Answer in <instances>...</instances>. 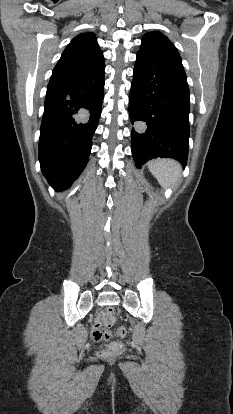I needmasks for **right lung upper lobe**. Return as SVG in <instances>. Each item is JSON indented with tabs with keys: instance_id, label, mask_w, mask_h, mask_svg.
<instances>
[{
	"instance_id": "1",
	"label": "right lung upper lobe",
	"mask_w": 233,
	"mask_h": 414,
	"mask_svg": "<svg viewBox=\"0 0 233 414\" xmlns=\"http://www.w3.org/2000/svg\"><path fill=\"white\" fill-rule=\"evenodd\" d=\"M104 65V57L95 35L84 33L68 44L53 74L58 76L83 75L92 73Z\"/></svg>"
}]
</instances>
